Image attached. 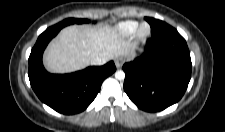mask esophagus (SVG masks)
Instances as JSON below:
<instances>
[{
    "label": "esophagus",
    "mask_w": 225,
    "mask_h": 132,
    "mask_svg": "<svg viewBox=\"0 0 225 132\" xmlns=\"http://www.w3.org/2000/svg\"><path fill=\"white\" fill-rule=\"evenodd\" d=\"M115 65H116L117 68L122 67V65H123V60H122V58H117V59H115Z\"/></svg>",
    "instance_id": "1"
}]
</instances>
